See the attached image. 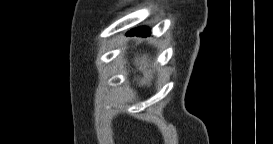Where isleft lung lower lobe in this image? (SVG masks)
Returning a JSON list of instances; mask_svg holds the SVG:
<instances>
[{"instance_id":"left-lung-lower-lobe-1","label":"left lung lower lobe","mask_w":273,"mask_h":144,"mask_svg":"<svg viewBox=\"0 0 273 144\" xmlns=\"http://www.w3.org/2000/svg\"><path fill=\"white\" fill-rule=\"evenodd\" d=\"M149 33H150V30L147 27H139V28L131 30L130 32H128L127 35L147 36V35H149Z\"/></svg>"}]
</instances>
